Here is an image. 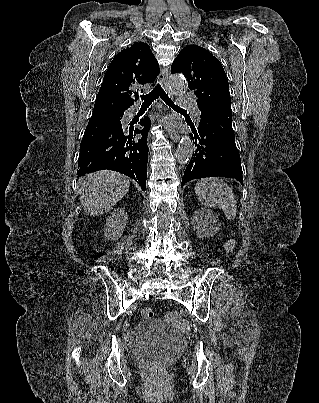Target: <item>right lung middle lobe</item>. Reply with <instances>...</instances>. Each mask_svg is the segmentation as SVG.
Returning a JSON list of instances; mask_svg holds the SVG:
<instances>
[{
    "label": "right lung middle lobe",
    "instance_id": "1",
    "mask_svg": "<svg viewBox=\"0 0 319 403\" xmlns=\"http://www.w3.org/2000/svg\"><path fill=\"white\" fill-rule=\"evenodd\" d=\"M116 111L108 110V109H100V108H94V112L92 113V116H97L101 114H110V113H115Z\"/></svg>",
    "mask_w": 319,
    "mask_h": 403
}]
</instances>
